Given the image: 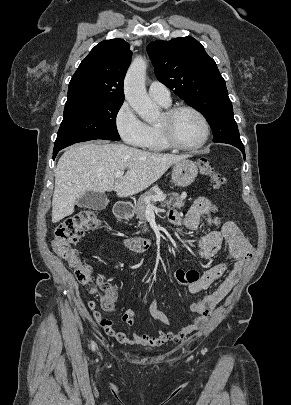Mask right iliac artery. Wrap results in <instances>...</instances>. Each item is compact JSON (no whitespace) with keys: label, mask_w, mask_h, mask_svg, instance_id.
Masks as SVG:
<instances>
[{"label":"right iliac artery","mask_w":291,"mask_h":405,"mask_svg":"<svg viewBox=\"0 0 291 405\" xmlns=\"http://www.w3.org/2000/svg\"><path fill=\"white\" fill-rule=\"evenodd\" d=\"M92 349L93 350L95 349V343L94 342L92 343Z\"/></svg>","instance_id":"82829eb1"}]
</instances>
